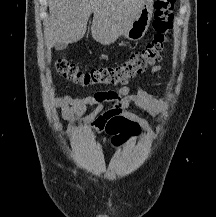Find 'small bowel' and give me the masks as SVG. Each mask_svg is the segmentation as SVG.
I'll use <instances>...</instances> for the list:
<instances>
[{"instance_id":"obj_1","label":"small bowel","mask_w":216,"mask_h":217,"mask_svg":"<svg viewBox=\"0 0 216 217\" xmlns=\"http://www.w3.org/2000/svg\"><path fill=\"white\" fill-rule=\"evenodd\" d=\"M161 68L162 65L157 64L150 71L156 73ZM106 104H111V107L105 109ZM131 104L146 111L150 116H157L166 109L165 102L152 96L145 89L139 87L135 92H132L128 86L97 91L83 98L66 95L56 98L54 102L55 107L61 109L64 119H73L74 124L86 123L93 133H101L107 130V127L118 119H126L156 139L161 127L155 130L145 119L130 112L128 108ZM88 106H92L94 109L90 115L83 118ZM72 131L73 125L69 127V132Z\"/></svg>"}]
</instances>
